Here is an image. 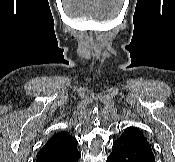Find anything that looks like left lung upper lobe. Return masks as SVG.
Segmentation results:
<instances>
[{
    "label": "left lung upper lobe",
    "instance_id": "obj_1",
    "mask_svg": "<svg viewBox=\"0 0 175 162\" xmlns=\"http://www.w3.org/2000/svg\"><path fill=\"white\" fill-rule=\"evenodd\" d=\"M123 133H132V134H134L138 137H141V138L145 139L143 133L135 127L127 128Z\"/></svg>",
    "mask_w": 175,
    "mask_h": 162
}]
</instances>
